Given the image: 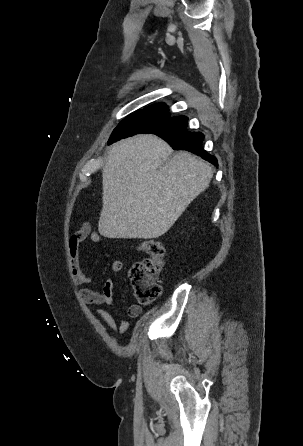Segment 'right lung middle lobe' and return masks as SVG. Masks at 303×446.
Instances as JSON below:
<instances>
[{
  "label": "right lung middle lobe",
  "instance_id": "dd1d6c3e",
  "mask_svg": "<svg viewBox=\"0 0 303 446\" xmlns=\"http://www.w3.org/2000/svg\"><path fill=\"white\" fill-rule=\"evenodd\" d=\"M168 116L170 113L166 106L160 110L142 109L119 123L112 132L108 144L141 133L152 124Z\"/></svg>",
  "mask_w": 303,
  "mask_h": 446
}]
</instances>
